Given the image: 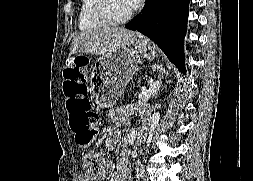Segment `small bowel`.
Returning a JSON list of instances; mask_svg holds the SVG:
<instances>
[{
  "mask_svg": "<svg viewBox=\"0 0 253 181\" xmlns=\"http://www.w3.org/2000/svg\"><path fill=\"white\" fill-rule=\"evenodd\" d=\"M82 68L86 67V63H80ZM127 107H117L110 111L108 118L114 121L128 112ZM118 132L110 127L106 138V146L108 148H115L118 142ZM107 176L110 177V181H130V167L125 158H121L117 163L107 162L103 170L97 175L82 174L80 181H102Z\"/></svg>",
  "mask_w": 253,
  "mask_h": 181,
  "instance_id": "c3829d8e",
  "label": "small bowel"
}]
</instances>
